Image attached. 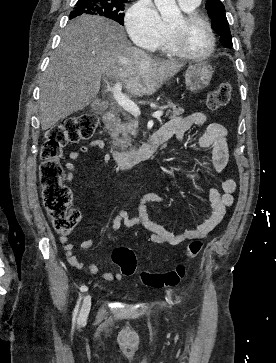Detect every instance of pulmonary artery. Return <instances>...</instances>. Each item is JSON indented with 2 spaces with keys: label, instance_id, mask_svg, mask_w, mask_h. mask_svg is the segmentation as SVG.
<instances>
[{
  "label": "pulmonary artery",
  "instance_id": "pulmonary-artery-1",
  "mask_svg": "<svg viewBox=\"0 0 276 363\" xmlns=\"http://www.w3.org/2000/svg\"><path fill=\"white\" fill-rule=\"evenodd\" d=\"M200 0H178L179 4L184 8H194L199 4Z\"/></svg>",
  "mask_w": 276,
  "mask_h": 363
}]
</instances>
